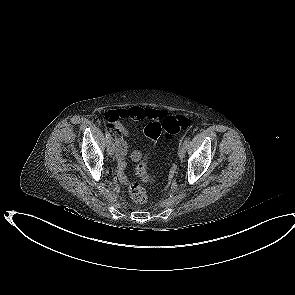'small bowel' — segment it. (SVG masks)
I'll use <instances>...</instances> for the list:
<instances>
[{
	"mask_svg": "<svg viewBox=\"0 0 295 295\" xmlns=\"http://www.w3.org/2000/svg\"><path fill=\"white\" fill-rule=\"evenodd\" d=\"M166 116V113L161 110L156 109H145L142 107H132L130 109L123 110H111L105 115V119L113 124L115 129V140H116V150L117 159L119 167L116 169L117 181L122 183L124 187H129L131 185V180L126 178L125 165L127 156V142L124 139L128 135L129 131L126 128L124 121L127 119L139 121V120H149L152 122H159ZM133 161H139L142 157V153L139 150H134L131 155Z\"/></svg>",
	"mask_w": 295,
	"mask_h": 295,
	"instance_id": "1",
	"label": "small bowel"
}]
</instances>
